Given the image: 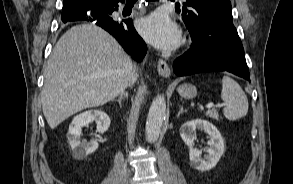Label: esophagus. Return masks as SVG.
Returning <instances> with one entry per match:
<instances>
[{"label":"esophagus","instance_id":"1","mask_svg":"<svg viewBox=\"0 0 293 184\" xmlns=\"http://www.w3.org/2000/svg\"><path fill=\"white\" fill-rule=\"evenodd\" d=\"M157 71H158L159 75H161L163 77H166V78L169 77L170 74H171L170 67L162 59H159L158 60V63H157Z\"/></svg>","mask_w":293,"mask_h":184}]
</instances>
